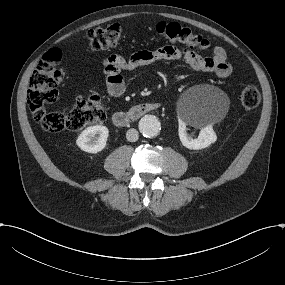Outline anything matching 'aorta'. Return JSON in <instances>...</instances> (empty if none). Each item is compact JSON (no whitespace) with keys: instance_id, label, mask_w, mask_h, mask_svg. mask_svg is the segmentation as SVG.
Listing matches in <instances>:
<instances>
[{"instance_id":"1","label":"aorta","mask_w":285,"mask_h":285,"mask_svg":"<svg viewBox=\"0 0 285 285\" xmlns=\"http://www.w3.org/2000/svg\"><path fill=\"white\" fill-rule=\"evenodd\" d=\"M160 122L153 115H145L139 122V130L144 137L153 138L160 131Z\"/></svg>"}]
</instances>
